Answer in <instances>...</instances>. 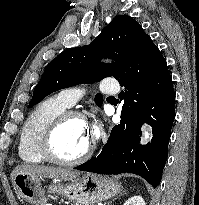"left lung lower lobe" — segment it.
Masks as SVG:
<instances>
[{
  "mask_svg": "<svg viewBox=\"0 0 199 205\" xmlns=\"http://www.w3.org/2000/svg\"><path fill=\"white\" fill-rule=\"evenodd\" d=\"M124 91L121 121L98 154L77 170L98 174L133 173L156 187L168 156L175 119V93L166 60L150 36L142 31L116 77ZM152 126L153 138L140 144L143 123Z\"/></svg>",
  "mask_w": 199,
  "mask_h": 205,
  "instance_id": "obj_1",
  "label": "left lung lower lobe"
}]
</instances>
